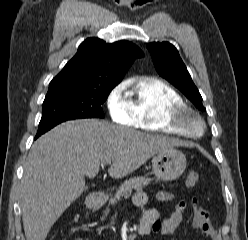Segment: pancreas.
<instances>
[{
	"mask_svg": "<svg viewBox=\"0 0 248 240\" xmlns=\"http://www.w3.org/2000/svg\"><path fill=\"white\" fill-rule=\"evenodd\" d=\"M151 179L145 177H133L122 183L113 198L109 200V205H116L123 197L127 198L133 190L144 188L150 183ZM109 213V208L104 211V215Z\"/></svg>",
	"mask_w": 248,
	"mask_h": 240,
	"instance_id": "cf45deb5",
	"label": "pancreas"
}]
</instances>
